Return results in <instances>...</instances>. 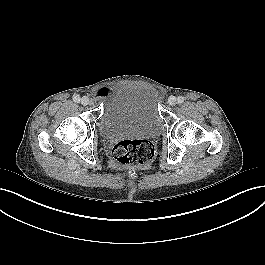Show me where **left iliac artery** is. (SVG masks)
I'll use <instances>...</instances> for the list:
<instances>
[{"label": "left iliac artery", "mask_w": 265, "mask_h": 265, "mask_svg": "<svg viewBox=\"0 0 265 265\" xmlns=\"http://www.w3.org/2000/svg\"><path fill=\"white\" fill-rule=\"evenodd\" d=\"M183 102H184V97L179 96V97L177 98V103L181 104V103H183Z\"/></svg>", "instance_id": "obj_1"}]
</instances>
